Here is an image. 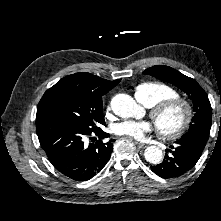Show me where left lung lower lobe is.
Here are the masks:
<instances>
[{
	"instance_id": "1",
	"label": "left lung lower lobe",
	"mask_w": 221,
	"mask_h": 221,
	"mask_svg": "<svg viewBox=\"0 0 221 221\" xmlns=\"http://www.w3.org/2000/svg\"><path fill=\"white\" fill-rule=\"evenodd\" d=\"M209 137V131H198L182 136L175 143L177 147L166 150L161 164L151 166V170L162 178H176L190 171L199 160Z\"/></svg>"
}]
</instances>
